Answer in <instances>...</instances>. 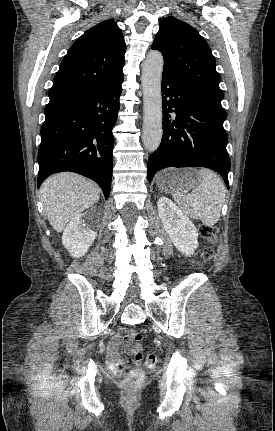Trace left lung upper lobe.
<instances>
[{
	"label": "left lung upper lobe",
	"instance_id": "left-lung-upper-lobe-1",
	"mask_svg": "<svg viewBox=\"0 0 275 431\" xmlns=\"http://www.w3.org/2000/svg\"><path fill=\"white\" fill-rule=\"evenodd\" d=\"M152 49L164 57L163 73L177 79L206 105L226 112L221 105L224 94L219 87L215 58L196 29L174 17L164 18Z\"/></svg>",
	"mask_w": 275,
	"mask_h": 431
}]
</instances>
